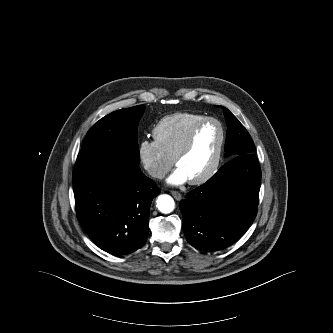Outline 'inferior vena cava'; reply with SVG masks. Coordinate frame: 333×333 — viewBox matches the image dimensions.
<instances>
[{"instance_id":"602c4592","label":"inferior vena cava","mask_w":333,"mask_h":333,"mask_svg":"<svg viewBox=\"0 0 333 333\" xmlns=\"http://www.w3.org/2000/svg\"><path fill=\"white\" fill-rule=\"evenodd\" d=\"M148 173L150 176L157 179H163L165 177V171L156 167L149 168Z\"/></svg>"}]
</instances>
